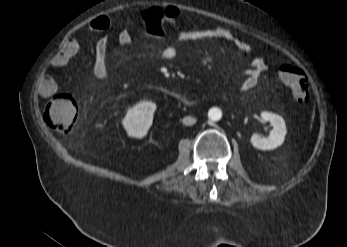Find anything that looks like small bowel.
<instances>
[{
	"instance_id": "small-bowel-1",
	"label": "small bowel",
	"mask_w": 347,
	"mask_h": 247,
	"mask_svg": "<svg viewBox=\"0 0 347 247\" xmlns=\"http://www.w3.org/2000/svg\"><path fill=\"white\" fill-rule=\"evenodd\" d=\"M111 20L107 16L96 17L89 23L92 31H103L110 27ZM120 46H129L131 44V33L128 29H124L119 36ZM206 40H222L230 43L237 52L249 58L250 68L246 72L245 78L240 83L241 91L253 89L257 83L259 74L267 69V62L262 57L252 56L251 46L240 37L235 31L220 26H203L189 30L180 31L177 34V41L180 43ZM80 44L74 38L70 37L62 44L59 51L52 57L49 62L50 68H62L79 52ZM106 41H99L94 47L93 74L97 79H105L108 77V69L106 66ZM178 55V48L175 44L167 45L161 52V58L164 61H172ZM37 88L43 96H51L57 90V84L53 76L47 72L42 73L37 78Z\"/></svg>"
}]
</instances>
